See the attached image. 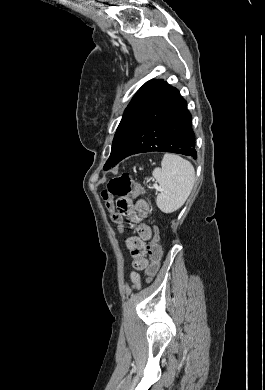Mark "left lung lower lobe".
<instances>
[{
  "label": "left lung lower lobe",
  "instance_id": "1",
  "mask_svg": "<svg viewBox=\"0 0 265 390\" xmlns=\"http://www.w3.org/2000/svg\"><path fill=\"white\" fill-rule=\"evenodd\" d=\"M191 120L187 103L179 91L164 82L143 108L133 137L119 162L130 155L152 151L197 159Z\"/></svg>",
  "mask_w": 265,
  "mask_h": 390
}]
</instances>
